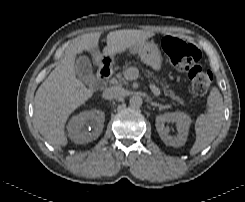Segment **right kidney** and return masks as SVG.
Returning a JSON list of instances; mask_svg holds the SVG:
<instances>
[{"label": "right kidney", "instance_id": "ca27d5eb", "mask_svg": "<svg viewBox=\"0 0 245 202\" xmlns=\"http://www.w3.org/2000/svg\"><path fill=\"white\" fill-rule=\"evenodd\" d=\"M105 114L99 110L85 111L73 116L67 126L68 136L77 144L91 142L101 134Z\"/></svg>", "mask_w": 245, "mask_h": 202}]
</instances>
